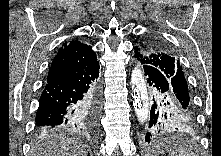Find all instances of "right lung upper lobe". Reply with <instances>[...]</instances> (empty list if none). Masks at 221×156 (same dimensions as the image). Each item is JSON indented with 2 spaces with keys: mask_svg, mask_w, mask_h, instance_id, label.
Listing matches in <instances>:
<instances>
[{
  "mask_svg": "<svg viewBox=\"0 0 221 156\" xmlns=\"http://www.w3.org/2000/svg\"><path fill=\"white\" fill-rule=\"evenodd\" d=\"M97 60L91 46L73 40L65 42L51 63L47 83L83 70Z\"/></svg>",
  "mask_w": 221,
  "mask_h": 156,
  "instance_id": "cb5924a9",
  "label": "right lung upper lobe"
}]
</instances>
